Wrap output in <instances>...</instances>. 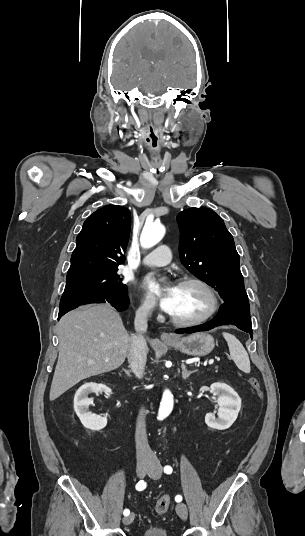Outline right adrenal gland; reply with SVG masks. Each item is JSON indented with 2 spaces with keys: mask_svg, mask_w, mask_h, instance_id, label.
<instances>
[{
  "mask_svg": "<svg viewBox=\"0 0 305 536\" xmlns=\"http://www.w3.org/2000/svg\"><path fill=\"white\" fill-rule=\"evenodd\" d=\"M125 374H127V376H130V370H124Z\"/></svg>",
  "mask_w": 305,
  "mask_h": 536,
  "instance_id": "1",
  "label": "right adrenal gland"
}]
</instances>
